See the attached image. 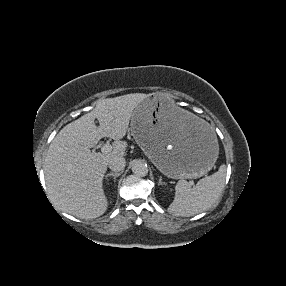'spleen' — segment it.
I'll list each match as a JSON object with an SVG mask.
<instances>
[{
    "label": "spleen",
    "instance_id": "spleen-1",
    "mask_svg": "<svg viewBox=\"0 0 286 286\" xmlns=\"http://www.w3.org/2000/svg\"><path fill=\"white\" fill-rule=\"evenodd\" d=\"M226 166H220L214 174L204 177L192 187L186 180L175 186V197L168 211L176 216H193L208 210L222 193Z\"/></svg>",
    "mask_w": 286,
    "mask_h": 286
}]
</instances>
